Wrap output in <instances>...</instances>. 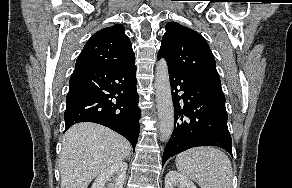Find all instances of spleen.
<instances>
[{
  "label": "spleen",
  "instance_id": "obj_1",
  "mask_svg": "<svg viewBox=\"0 0 292 188\" xmlns=\"http://www.w3.org/2000/svg\"><path fill=\"white\" fill-rule=\"evenodd\" d=\"M178 171L200 188H232V165L225 153L214 147H194L177 155Z\"/></svg>",
  "mask_w": 292,
  "mask_h": 188
}]
</instances>
